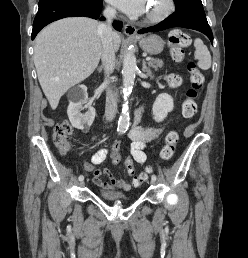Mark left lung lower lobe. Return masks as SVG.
<instances>
[{
    "mask_svg": "<svg viewBox=\"0 0 248 258\" xmlns=\"http://www.w3.org/2000/svg\"><path fill=\"white\" fill-rule=\"evenodd\" d=\"M172 27L194 29L204 33L213 44V34L207 22L203 7L177 10L159 24L139 30V33L158 32Z\"/></svg>",
    "mask_w": 248,
    "mask_h": 258,
    "instance_id": "0a47b994",
    "label": "left lung lower lobe"
}]
</instances>
